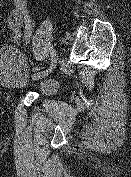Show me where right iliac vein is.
I'll return each mask as SVG.
<instances>
[{
    "mask_svg": "<svg viewBox=\"0 0 131 177\" xmlns=\"http://www.w3.org/2000/svg\"><path fill=\"white\" fill-rule=\"evenodd\" d=\"M57 60H58V57H57V54H56V57L53 58V60L50 63V67H48L47 70L36 73L34 75V77L39 79V78H43V77L48 76L54 70V68L56 66V63H57Z\"/></svg>",
    "mask_w": 131,
    "mask_h": 177,
    "instance_id": "right-iliac-vein-1",
    "label": "right iliac vein"
}]
</instances>
